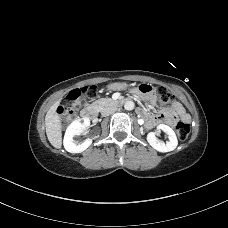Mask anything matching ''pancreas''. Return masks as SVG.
Listing matches in <instances>:
<instances>
[{
    "instance_id": "cf45deb5",
    "label": "pancreas",
    "mask_w": 228,
    "mask_h": 228,
    "mask_svg": "<svg viewBox=\"0 0 228 228\" xmlns=\"http://www.w3.org/2000/svg\"><path fill=\"white\" fill-rule=\"evenodd\" d=\"M112 102V99L110 98H101L96 100L91 104L93 108H96L98 110H103L106 105Z\"/></svg>"
}]
</instances>
